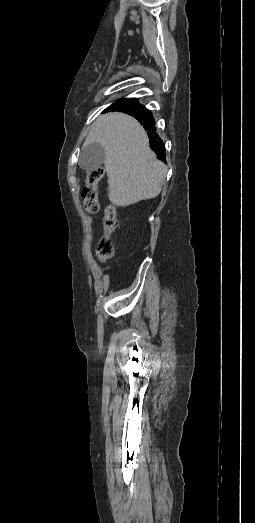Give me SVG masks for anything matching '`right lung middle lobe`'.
Wrapping results in <instances>:
<instances>
[{
	"mask_svg": "<svg viewBox=\"0 0 255 523\" xmlns=\"http://www.w3.org/2000/svg\"><path fill=\"white\" fill-rule=\"evenodd\" d=\"M120 101H123V102H129V103H136L137 99H135V98H130V99H123V100H120Z\"/></svg>",
	"mask_w": 255,
	"mask_h": 523,
	"instance_id": "obj_1",
	"label": "right lung middle lobe"
}]
</instances>
